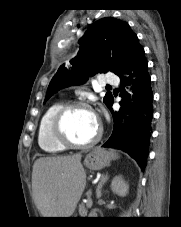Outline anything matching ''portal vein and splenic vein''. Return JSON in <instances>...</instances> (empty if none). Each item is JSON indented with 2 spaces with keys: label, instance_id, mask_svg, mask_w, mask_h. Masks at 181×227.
I'll return each instance as SVG.
<instances>
[{
  "label": "portal vein and splenic vein",
  "instance_id": "1",
  "mask_svg": "<svg viewBox=\"0 0 181 227\" xmlns=\"http://www.w3.org/2000/svg\"><path fill=\"white\" fill-rule=\"evenodd\" d=\"M87 198H88L87 207L88 208H91L93 203H92V199L90 197V192L88 193Z\"/></svg>",
  "mask_w": 181,
  "mask_h": 227
}]
</instances>
